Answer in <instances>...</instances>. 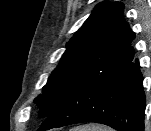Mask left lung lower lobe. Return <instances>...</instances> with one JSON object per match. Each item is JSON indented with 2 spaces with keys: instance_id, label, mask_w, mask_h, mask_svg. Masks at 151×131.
<instances>
[{
  "instance_id": "obj_1",
  "label": "left lung lower lobe",
  "mask_w": 151,
  "mask_h": 131,
  "mask_svg": "<svg viewBox=\"0 0 151 131\" xmlns=\"http://www.w3.org/2000/svg\"><path fill=\"white\" fill-rule=\"evenodd\" d=\"M138 60L92 68L66 93L38 131L95 122L117 131H144L145 95Z\"/></svg>"
}]
</instances>
